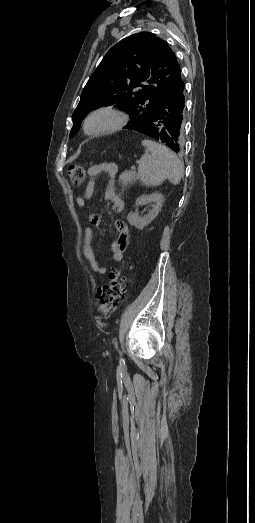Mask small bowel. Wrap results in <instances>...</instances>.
I'll list each match as a JSON object with an SVG mask.
<instances>
[{
	"label": "small bowel",
	"instance_id": "small-bowel-1",
	"mask_svg": "<svg viewBox=\"0 0 255 523\" xmlns=\"http://www.w3.org/2000/svg\"><path fill=\"white\" fill-rule=\"evenodd\" d=\"M104 168L109 172L110 176L113 178V176L116 173V167L112 164H106L104 165ZM99 169L98 167H92L89 170V175L91 177V181L89 182L88 186L86 187V190L84 192V195L81 197H78L76 199V204L79 207H84L86 204V201L91 199L94 194V180L93 178L98 174ZM110 179L108 182L107 188H106V198L111 202L112 209L116 213H120L124 209V202L122 198L116 193L114 181L113 179ZM89 221L91 224L95 226H100L101 224V218L97 214H91L89 216ZM116 230H117V238L111 245V256L114 263H120L123 260V254L124 251L127 248L128 242H129V229L125 222L123 221H117L115 224ZM92 240H93V231L91 227L87 226L84 228L83 232V246L82 251L85 259L88 261L91 270L99 275H103L107 272V268L100 265L98 262L95 252L92 247Z\"/></svg>",
	"mask_w": 255,
	"mask_h": 523
}]
</instances>
